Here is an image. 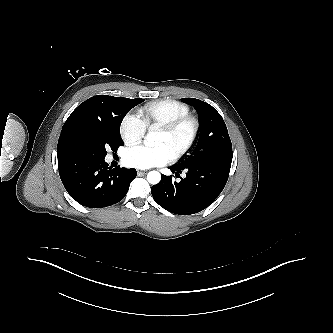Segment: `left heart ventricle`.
Masks as SVG:
<instances>
[{
  "label": "left heart ventricle",
  "mask_w": 333,
  "mask_h": 333,
  "mask_svg": "<svg viewBox=\"0 0 333 333\" xmlns=\"http://www.w3.org/2000/svg\"><path fill=\"white\" fill-rule=\"evenodd\" d=\"M189 127L184 126L179 129L174 135H167L162 131L158 132L156 145H164L168 148L172 154L177 148H179L186 141L189 135Z\"/></svg>",
  "instance_id": "obj_1"
}]
</instances>
